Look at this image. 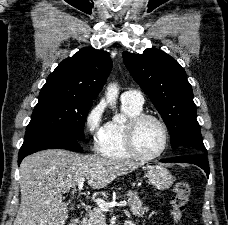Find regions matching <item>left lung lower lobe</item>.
Wrapping results in <instances>:
<instances>
[{
  "label": "left lung lower lobe",
  "mask_w": 228,
  "mask_h": 225,
  "mask_svg": "<svg viewBox=\"0 0 228 225\" xmlns=\"http://www.w3.org/2000/svg\"><path fill=\"white\" fill-rule=\"evenodd\" d=\"M161 162L167 163V162H179V163H190L195 164L199 167H201L209 177V164L208 161L203 154H194L189 156H183V157H174L166 160H161Z\"/></svg>",
  "instance_id": "1"
}]
</instances>
